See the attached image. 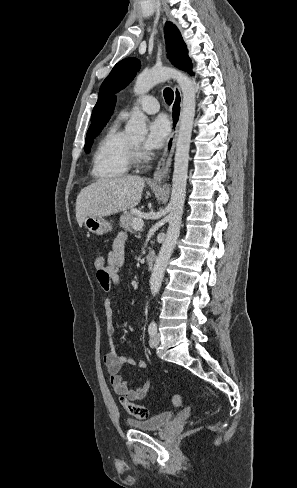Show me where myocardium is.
Segmentation results:
<instances>
[{
    "mask_svg": "<svg viewBox=\"0 0 297 488\" xmlns=\"http://www.w3.org/2000/svg\"><path fill=\"white\" fill-rule=\"evenodd\" d=\"M131 162L135 164H142L145 161V156L141 152L139 146L131 142Z\"/></svg>",
    "mask_w": 297,
    "mask_h": 488,
    "instance_id": "myocardium-1",
    "label": "myocardium"
}]
</instances>
